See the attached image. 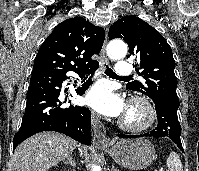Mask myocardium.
<instances>
[{
	"label": "myocardium",
	"mask_w": 199,
	"mask_h": 171,
	"mask_svg": "<svg viewBox=\"0 0 199 171\" xmlns=\"http://www.w3.org/2000/svg\"><path fill=\"white\" fill-rule=\"evenodd\" d=\"M132 111L137 114L135 118L130 117ZM155 119L156 110L153 103L148 98L137 95L129 99L120 127L128 132H142L151 127Z\"/></svg>",
	"instance_id": "f54148a6"
}]
</instances>
